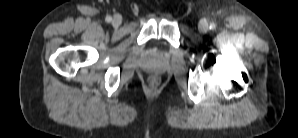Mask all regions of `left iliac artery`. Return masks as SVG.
<instances>
[{
	"label": "left iliac artery",
	"mask_w": 298,
	"mask_h": 138,
	"mask_svg": "<svg viewBox=\"0 0 298 138\" xmlns=\"http://www.w3.org/2000/svg\"><path fill=\"white\" fill-rule=\"evenodd\" d=\"M215 28H216V24L215 23H210L209 29L214 30Z\"/></svg>",
	"instance_id": "left-iliac-artery-1"
}]
</instances>
